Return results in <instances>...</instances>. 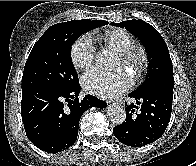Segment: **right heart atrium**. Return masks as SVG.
I'll use <instances>...</instances> for the list:
<instances>
[{
  "label": "right heart atrium",
  "instance_id": "1",
  "mask_svg": "<svg viewBox=\"0 0 196 166\" xmlns=\"http://www.w3.org/2000/svg\"><path fill=\"white\" fill-rule=\"evenodd\" d=\"M70 58L76 69H89L95 61V48L92 39L88 36L78 38L71 46Z\"/></svg>",
  "mask_w": 196,
  "mask_h": 166
}]
</instances>
